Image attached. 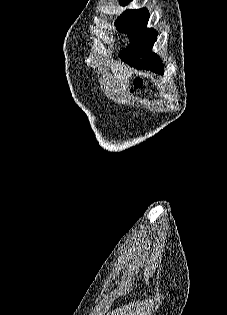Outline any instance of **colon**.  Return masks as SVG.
Here are the masks:
<instances>
[{
    "label": "colon",
    "instance_id": "obj_1",
    "mask_svg": "<svg viewBox=\"0 0 227 315\" xmlns=\"http://www.w3.org/2000/svg\"><path fill=\"white\" fill-rule=\"evenodd\" d=\"M143 85V79L141 77H136L133 81V87L135 89L140 88Z\"/></svg>",
    "mask_w": 227,
    "mask_h": 315
}]
</instances>
